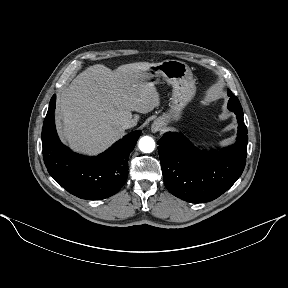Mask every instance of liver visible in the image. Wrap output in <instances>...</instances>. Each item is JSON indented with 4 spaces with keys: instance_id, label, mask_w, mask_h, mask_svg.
<instances>
[{
    "instance_id": "obj_1",
    "label": "liver",
    "mask_w": 288,
    "mask_h": 288,
    "mask_svg": "<svg viewBox=\"0 0 288 288\" xmlns=\"http://www.w3.org/2000/svg\"><path fill=\"white\" fill-rule=\"evenodd\" d=\"M149 65L138 62L111 70L96 64L80 73L59 98L62 139L74 151L94 155L122 138L132 111L145 114L160 105Z\"/></svg>"
}]
</instances>
